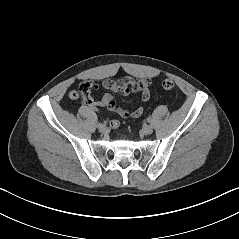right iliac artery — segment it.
<instances>
[{"label":"right iliac artery","instance_id":"right-iliac-artery-1","mask_svg":"<svg viewBox=\"0 0 239 239\" xmlns=\"http://www.w3.org/2000/svg\"><path fill=\"white\" fill-rule=\"evenodd\" d=\"M101 125H102V123L99 122V123L97 124V127H100Z\"/></svg>","mask_w":239,"mask_h":239}]
</instances>
